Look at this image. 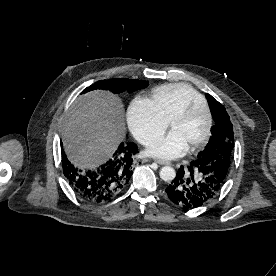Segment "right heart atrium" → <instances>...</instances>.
Returning a JSON list of instances; mask_svg holds the SVG:
<instances>
[{
  "instance_id": "right-heart-atrium-1",
  "label": "right heart atrium",
  "mask_w": 276,
  "mask_h": 276,
  "mask_svg": "<svg viewBox=\"0 0 276 276\" xmlns=\"http://www.w3.org/2000/svg\"><path fill=\"white\" fill-rule=\"evenodd\" d=\"M128 123L135 138L144 145L151 144L168 127L154 102L147 98L136 97L128 109Z\"/></svg>"
}]
</instances>
